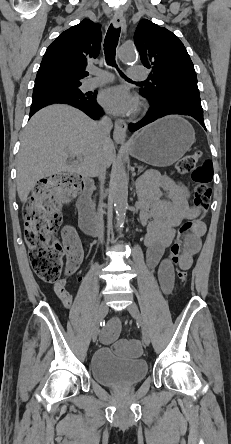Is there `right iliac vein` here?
I'll return each mask as SVG.
<instances>
[{"label": "right iliac vein", "mask_w": 231, "mask_h": 444, "mask_svg": "<svg viewBox=\"0 0 231 444\" xmlns=\"http://www.w3.org/2000/svg\"><path fill=\"white\" fill-rule=\"evenodd\" d=\"M108 312V307L107 305L103 302L98 310V314L96 317V320L94 322L93 328H92V341L95 342L98 336V332H99V325L102 322V320L104 319V317L106 316Z\"/></svg>", "instance_id": "right-iliac-vein-1"}]
</instances>
